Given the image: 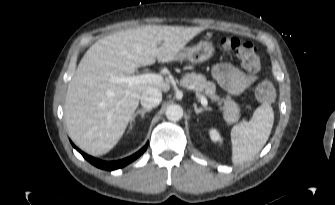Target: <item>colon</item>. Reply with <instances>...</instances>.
<instances>
[{"instance_id":"colon-1","label":"colon","mask_w":335,"mask_h":205,"mask_svg":"<svg viewBox=\"0 0 335 205\" xmlns=\"http://www.w3.org/2000/svg\"><path fill=\"white\" fill-rule=\"evenodd\" d=\"M222 49L226 52H234L246 70L256 72L260 68L259 52L252 43L243 42L237 38H227L222 42ZM254 94L260 102H271L275 98L274 85L264 80L255 87Z\"/></svg>"}]
</instances>
